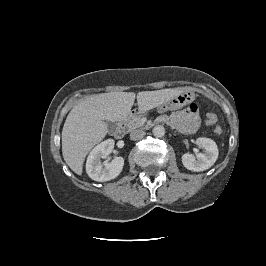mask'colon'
<instances>
[{
    "instance_id": "colon-1",
    "label": "colon",
    "mask_w": 266,
    "mask_h": 266,
    "mask_svg": "<svg viewBox=\"0 0 266 266\" xmlns=\"http://www.w3.org/2000/svg\"><path fill=\"white\" fill-rule=\"evenodd\" d=\"M205 120H206V123L208 125H214L217 122V116L215 114H213V113H208L206 115V119ZM214 132L219 135V134L222 133V128L220 126H215L214 127Z\"/></svg>"
}]
</instances>
